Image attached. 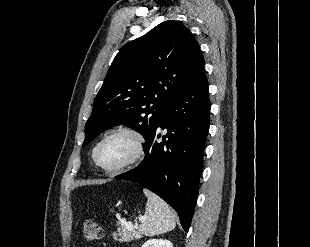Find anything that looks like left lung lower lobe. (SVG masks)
Listing matches in <instances>:
<instances>
[{
  "mask_svg": "<svg viewBox=\"0 0 310 247\" xmlns=\"http://www.w3.org/2000/svg\"><path fill=\"white\" fill-rule=\"evenodd\" d=\"M210 101L204 67L167 105L144 145L141 164L116 178L137 182L165 200L188 232L209 130ZM166 128L163 141L159 129Z\"/></svg>",
  "mask_w": 310,
  "mask_h": 247,
  "instance_id": "0a47b994",
  "label": "left lung lower lobe"
}]
</instances>
